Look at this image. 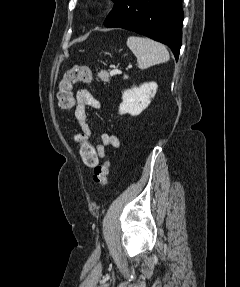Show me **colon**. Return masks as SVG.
Instances as JSON below:
<instances>
[{
    "label": "colon",
    "instance_id": "5ec220e1",
    "mask_svg": "<svg viewBox=\"0 0 240 287\" xmlns=\"http://www.w3.org/2000/svg\"><path fill=\"white\" fill-rule=\"evenodd\" d=\"M92 80V72L86 66H74L68 69L58 85L57 99L61 109L70 111L74 105L73 86L76 83H88ZM79 145V154L84 165L92 170L95 183L106 187L110 169L109 161L99 162L96 146L91 144L88 136L78 132L74 136Z\"/></svg>",
    "mask_w": 240,
    "mask_h": 287
}]
</instances>
